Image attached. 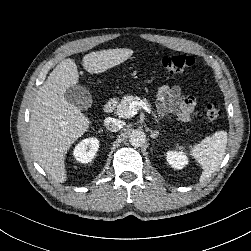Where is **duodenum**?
<instances>
[{
    "label": "duodenum",
    "mask_w": 251,
    "mask_h": 251,
    "mask_svg": "<svg viewBox=\"0 0 251 251\" xmlns=\"http://www.w3.org/2000/svg\"><path fill=\"white\" fill-rule=\"evenodd\" d=\"M117 105V100L116 99H110L109 101H107L103 107L104 112L109 114L111 113L115 107Z\"/></svg>",
    "instance_id": "obj_1"
}]
</instances>
